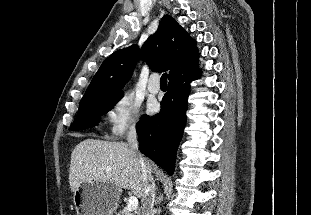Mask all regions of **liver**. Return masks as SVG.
Here are the masks:
<instances>
[{"label": "liver", "instance_id": "6515ba94", "mask_svg": "<svg viewBox=\"0 0 311 215\" xmlns=\"http://www.w3.org/2000/svg\"><path fill=\"white\" fill-rule=\"evenodd\" d=\"M151 172L152 166L146 161ZM89 180L102 181L144 196V177L136 155L124 142L85 139L74 148L69 168V184L75 193Z\"/></svg>", "mask_w": 311, "mask_h": 215}]
</instances>
